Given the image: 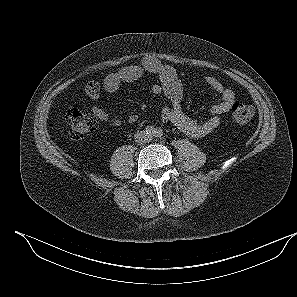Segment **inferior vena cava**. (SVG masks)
I'll return each instance as SVG.
<instances>
[{"mask_svg": "<svg viewBox=\"0 0 297 297\" xmlns=\"http://www.w3.org/2000/svg\"><path fill=\"white\" fill-rule=\"evenodd\" d=\"M135 141L137 144H144L150 141V136L145 131H140L135 134Z\"/></svg>", "mask_w": 297, "mask_h": 297, "instance_id": "602c4592", "label": "inferior vena cava"}]
</instances>
